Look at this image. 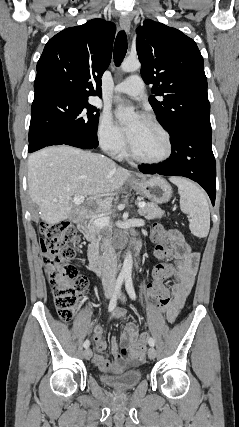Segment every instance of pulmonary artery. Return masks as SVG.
<instances>
[{"instance_id": "obj_1", "label": "pulmonary artery", "mask_w": 239, "mask_h": 427, "mask_svg": "<svg viewBox=\"0 0 239 427\" xmlns=\"http://www.w3.org/2000/svg\"><path fill=\"white\" fill-rule=\"evenodd\" d=\"M114 91L116 93L126 94L135 99H139L143 96L144 93V83L139 76L133 75L117 84L114 88Z\"/></svg>"}]
</instances>
